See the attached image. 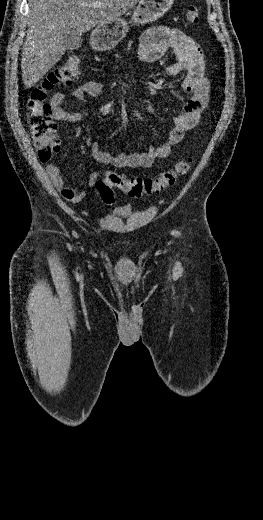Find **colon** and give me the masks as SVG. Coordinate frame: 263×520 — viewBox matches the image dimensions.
Returning <instances> with one entry per match:
<instances>
[{
	"label": "colon",
	"mask_w": 263,
	"mask_h": 520,
	"mask_svg": "<svg viewBox=\"0 0 263 520\" xmlns=\"http://www.w3.org/2000/svg\"><path fill=\"white\" fill-rule=\"evenodd\" d=\"M184 20L189 25L197 24L200 20L198 8L195 6L188 7L185 11ZM79 74V59L70 57L65 63L50 72L31 93L27 104V123L37 155L42 162L50 160L53 154L60 149L53 110L51 105L45 102L46 96L57 86L71 85L79 77ZM192 165V158L182 159L173 167L155 177L126 176L116 172H108L103 179L96 182L95 186L101 200L106 205H112L115 201V190H119L132 198L158 194L172 187L180 177L190 171Z\"/></svg>",
	"instance_id": "obj_1"
}]
</instances>
